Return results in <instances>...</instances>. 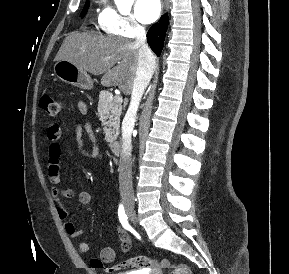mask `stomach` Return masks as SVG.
<instances>
[{"label": "stomach", "instance_id": "obj_1", "mask_svg": "<svg viewBox=\"0 0 289 274\" xmlns=\"http://www.w3.org/2000/svg\"><path fill=\"white\" fill-rule=\"evenodd\" d=\"M53 70L57 78L65 83L85 90L93 88V81L88 73L68 60L57 61Z\"/></svg>", "mask_w": 289, "mask_h": 274}]
</instances>
